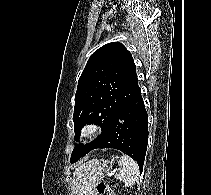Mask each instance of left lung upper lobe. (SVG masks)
<instances>
[{"label": "left lung upper lobe", "mask_w": 211, "mask_h": 195, "mask_svg": "<svg viewBox=\"0 0 211 195\" xmlns=\"http://www.w3.org/2000/svg\"><path fill=\"white\" fill-rule=\"evenodd\" d=\"M139 89L136 65L131 53L121 43H108L90 56L75 94V139L79 140L82 126L87 122L101 126L102 133L86 145L77 144L71 162L93 150L111 119Z\"/></svg>", "instance_id": "obj_1"}]
</instances>
